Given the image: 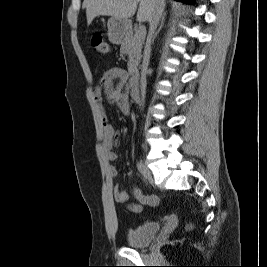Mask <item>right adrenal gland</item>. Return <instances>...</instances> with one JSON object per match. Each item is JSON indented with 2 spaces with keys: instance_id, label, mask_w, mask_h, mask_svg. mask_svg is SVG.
I'll return each mask as SVG.
<instances>
[{
  "instance_id": "2a0ac1e0",
  "label": "right adrenal gland",
  "mask_w": 267,
  "mask_h": 267,
  "mask_svg": "<svg viewBox=\"0 0 267 267\" xmlns=\"http://www.w3.org/2000/svg\"><path fill=\"white\" fill-rule=\"evenodd\" d=\"M165 16H166V13H164V14L162 15V17H161V22H160L159 28L157 29V31L155 32V34H154V36H153L152 43H154V40H155L157 34L160 32L161 28H162L163 25H164Z\"/></svg>"
}]
</instances>
